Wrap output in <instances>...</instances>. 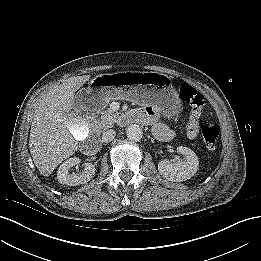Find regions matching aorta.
<instances>
[{
    "mask_svg": "<svg viewBox=\"0 0 261 261\" xmlns=\"http://www.w3.org/2000/svg\"><path fill=\"white\" fill-rule=\"evenodd\" d=\"M126 135L132 141H140L143 131L139 125L132 124L126 129Z\"/></svg>",
    "mask_w": 261,
    "mask_h": 261,
    "instance_id": "obj_1",
    "label": "aorta"
}]
</instances>
